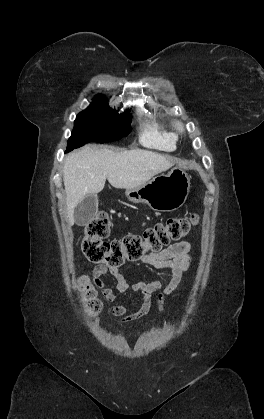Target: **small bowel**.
<instances>
[{
  "instance_id": "small-bowel-1",
  "label": "small bowel",
  "mask_w": 264,
  "mask_h": 419,
  "mask_svg": "<svg viewBox=\"0 0 264 419\" xmlns=\"http://www.w3.org/2000/svg\"><path fill=\"white\" fill-rule=\"evenodd\" d=\"M191 244L188 241H180L157 252L146 254L141 261L155 269L169 272L168 280L155 279L152 281H139L129 284L118 268H109L99 265L92 271L94 284L101 289L107 301H113L115 291L106 286L103 276L110 274L115 280V288L119 293L138 292L141 295L140 306L132 311L127 306L115 305L109 308L110 314L119 317L122 323H130L143 318L149 311L151 296L158 293L159 308H163L166 296L171 295L180 286L185 272L191 264Z\"/></svg>"
}]
</instances>
